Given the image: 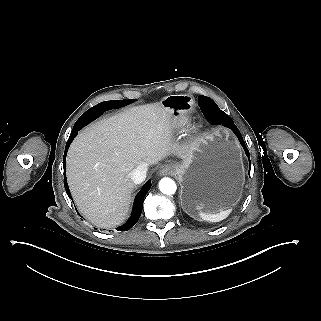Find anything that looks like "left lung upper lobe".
I'll list each match as a JSON object with an SVG mask.
<instances>
[{
    "mask_svg": "<svg viewBox=\"0 0 321 321\" xmlns=\"http://www.w3.org/2000/svg\"><path fill=\"white\" fill-rule=\"evenodd\" d=\"M214 103V101L206 96L200 95L199 96V106L203 107V106H210Z\"/></svg>",
    "mask_w": 321,
    "mask_h": 321,
    "instance_id": "5c2ea615",
    "label": "left lung upper lobe"
}]
</instances>
